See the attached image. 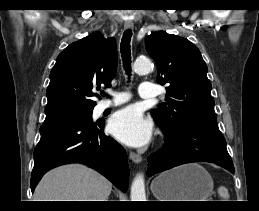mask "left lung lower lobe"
<instances>
[{
    "label": "left lung lower lobe",
    "mask_w": 259,
    "mask_h": 211,
    "mask_svg": "<svg viewBox=\"0 0 259 211\" xmlns=\"http://www.w3.org/2000/svg\"><path fill=\"white\" fill-rule=\"evenodd\" d=\"M162 150L148 157V176L190 162H211L232 173L234 166L219 128L187 123L166 134Z\"/></svg>",
    "instance_id": "obj_1"
}]
</instances>
